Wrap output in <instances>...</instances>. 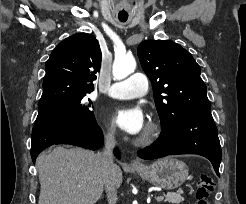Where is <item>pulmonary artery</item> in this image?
<instances>
[{
    "mask_svg": "<svg viewBox=\"0 0 246 204\" xmlns=\"http://www.w3.org/2000/svg\"><path fill=\"white\" fill-rule=\"evenodd\" d=\"M147 91V77L143 73H134L127 79L114 83L108 95L116 99H133L145 95Z\"/></svg>",
    "mask_w": 246,
    "mask_h": 204,
    "instance_id": "pulmonary-artery-1",
    "label": "pulmonary artery"
}]
</instances>
